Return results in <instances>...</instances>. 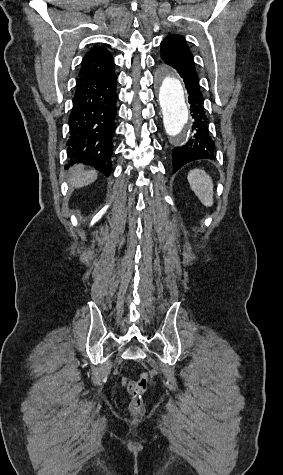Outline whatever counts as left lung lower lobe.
Segmentation results:
<instances>
[{
	"label": "left lung lower lobe",
	"instance_id": "left-lung-lower-lobe-1",
	"mask_svg": "<svg viewBox=\"0 0 283 475\" xmlns=\"http://www.w3.org/2000/svg\"><path fill=\"white\" fill-rule=\"evenodd\" d=\"M174 67L183 78L188 93L190 113L193 118L192 136L182 147L172 151L173 173L184 164L197 159H215V143L210 135L204 99L194 63L189 61L172 62L162 58Z\"/></svg>",
	"mask_w": 283,
	"mask_h": 475
}]
</instances>
